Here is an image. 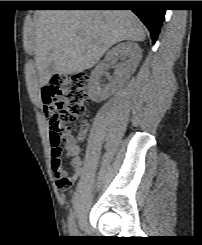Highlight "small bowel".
<instances>
[{"mask_svg":"<svg viewBox=\"0 0 202 245\" xmlns=\"http://www.w3.org/2000/svg\"><path fill=\"white\" fill-rule=\"evenodd\" d=\"M40 97L45 109L49 113L55 111L56 88L54 85H45L41 88ZM63 152L73 157L72 166L73 173L66 170L65 162L63 160ZM51 169L54 174L56 188L59 191H67L79 178L82 172V160L80 157V149L78 146V138L69 135L64 144L59 148L51 147Z\"/></svg>","mask_w":202,"mask_h":245,"instance_id":"obj_1","label":"small bowel"}]
</instances>
